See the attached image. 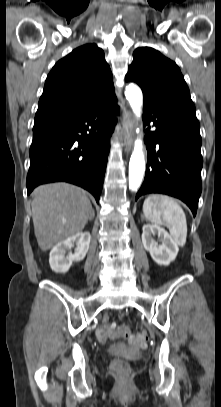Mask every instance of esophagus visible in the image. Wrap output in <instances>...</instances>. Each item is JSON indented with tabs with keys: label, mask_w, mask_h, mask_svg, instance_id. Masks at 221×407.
Returning a JSON list of instances; mask_svg holds the SVG:
<instances>
[{
	"label": "esophagus",
	"mask_w": 221,
	"mask_h": 407,
	"mask_svg": "<svg viewBox=\"0 0 221 407\" xmlns=\"http://www.w3.org/2000/svg\"><path fill=\"white\" fill-rule=\"evenodd\" d=\"M122 128L125 151L128 153L134 140V119L132 113L128 110L124 112Z\"/></svg>",
	"instance_id": "34e87169"
}]
</instances>
